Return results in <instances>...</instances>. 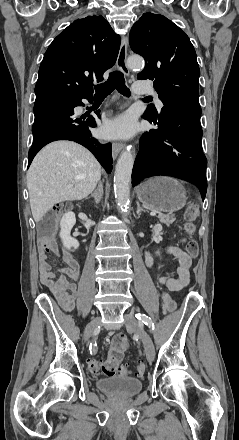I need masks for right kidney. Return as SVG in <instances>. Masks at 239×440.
<instances>
[{
    "mask_svg": "<svg viewBox=\"0 0 239 440\" xmlns=\"http://www.w3.org/2000/svg\"><path fill=\"white\" fill-rule=\"evenodd\" d=\"M76 224V218L74 212H67V214H64L61 218L60 226V238L62 242H68L70 244L71 248H74V250H77L79 248V242L78 240H75V238H72L70 236V232Z\"/></svg>",
    "mask_w": 239,
    "mask_h": 440,
    "instance_id": "right-kidney-1",
    "label": "right kidney"
}]
</instances>
